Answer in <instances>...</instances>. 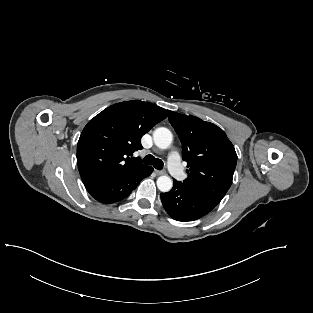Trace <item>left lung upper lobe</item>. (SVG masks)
Listing matches in <instances>:
<instances>
[{"mask_svg": "<svg viewBox=\"0 0 313 313\" xmlns=\"http://www.w3.org/2000/svg\"><path fill=\"white\" fill-rule=\"evenodd\" d=\"M168 118L182 143L190 190L221 201L232 184L237 154L225 132L195 116L169 111Z\"/></svg>", "mask_w": 313, "mask_h": 313, "instance_id": "left-lung-upper-lobe-1", "label": "left lung upper lobe"}]
</instances>
